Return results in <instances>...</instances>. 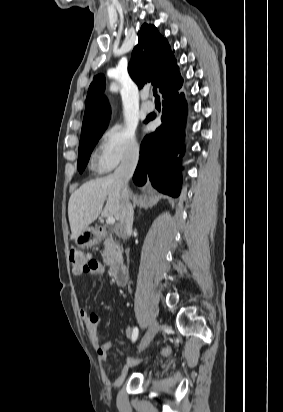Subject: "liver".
<instances>
[{"instance_id": "1", "label": "liver", "mask_w": 283, "mask_h": 412, "mask_svg": "<svg viewBox=\"0 0 283 412\" xmlns=\"http://www.w3.org/2000/svg\"><path fill=\"white\" fill-rule=\"evenodd\" d=\"M121 199L122 185L114 175L84 183L72 193L68 203L71 239L80 235L100 214L119 220Z\"/></svg>"}]
</instances>
